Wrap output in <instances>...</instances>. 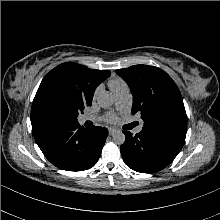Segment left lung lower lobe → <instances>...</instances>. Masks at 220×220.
Here are the masks:
<instances>
[{
	"instance_id": "1",
	"label": "left lung lower lobe",
	"mask_w": 220,
	"mask_h": 220,
	"mask_svg": "<svg viewBox=\"0 0 220 220\" xmlns=\"http://www.w3.org/2000/svg\"><path fill=\"white\" fill-rule=\"evenodd\" d=\"M126 136L121 145V155L126 165L134 171L153 173L168 166L178 155L180 149L167 142L143 132L135 136L123 131Z\"/></svg>"
}]
</instances>
